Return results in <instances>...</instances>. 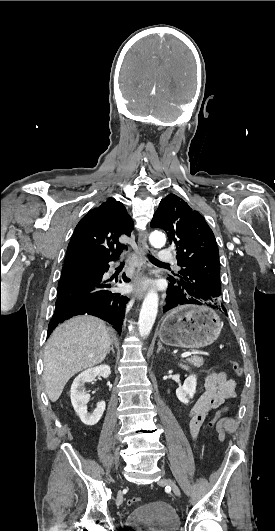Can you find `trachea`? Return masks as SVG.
<instances>
[{
	"label": "trachea",
	"instance_id": "obj_1",
	"mask_svg": "<svg viewBox=\"0 0 275 531\" xmlns=\"http://www.w3.org/2000/svg\"><path fill=\"white\" fill-rule=\"evenodd\" d=\"M148 258L153 261L154 263H157L158 265L160 266H163V267H169V263H162V261H159L158 259L154 258L153 256H151V254H148Z\"/></svg>",
	"mask_w": 275,
	"mask_h": 531
}]
</instances>
